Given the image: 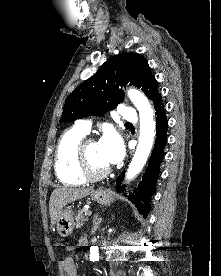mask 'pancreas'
<instances>
[{
  "instance_id": "cf45deb5",
  "label": "pancreas",
  "mask_w": 221,
  "mask_h": 276,
  "mask_svg": "<svg viewBox=\"0 0 221 276\" xmlns=\"http://www.w3.org/2000/svg\"><path fill=\"white\" fill-rule=\"evenodd\" d=\"M88 210L82 209L76 217V228H80L87 221Z\"/></svg>"
}]
</instances>
